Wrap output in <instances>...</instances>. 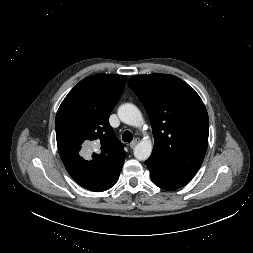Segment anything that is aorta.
Wrapping results in <instances>:
<instances>
[{"mask_svg":"<svg viewBox=\"0 0 253 253\" xmlns=\"http://www.w3.org/2000/svg\"><path fill=\"white\" fill-rule=\"evenodd\" d=\"M119 119L130 126L139 127L143 124V117L140 110L133 104L125 103L118 108ZM153 145L150 139L140 141L134 148V157L137 160L145 161L152 153Z\"/></svg>","mask_w":253,"mask_h":253,"instance_id":"1","label":"aorta"}]
</instances>
